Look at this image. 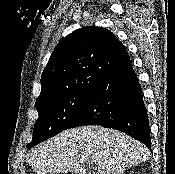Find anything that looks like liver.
Here are the masks:
<instances>
[{"label":"liver","mask_w":175,"mask_h":174,"mask_svg":"<svg viewBox=\"0 0 175 174\" xmlns=\"http://www.w3.org/2000/svg\"><path fill=\"white\" fill-rule=\"evenodd\" d=\"M149 155V150L129 135L92 125L63 131L41 143L30 153L28 163L37 174H90L85 162L96 165L94 174H122Z\"/></svg>","instance_id":"liver-1"}]
</instances>
